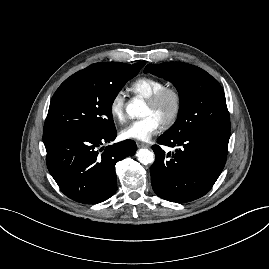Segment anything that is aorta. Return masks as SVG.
<instances>
[{
    "mask_svg": "<svg viewBox=\"0 0 269 269\" xmlns=\"http://www.w3.org/2000/svg\"><path fill=\"white\" fill-rule=\"evenodd\" d=\"M146 104L143 100L134 98L131 102L128 103L126 111L128 115L132 118L142 117ZM137 160L143 164L148 165L154 162L155 156L154 153L148 149H139L136 153Z\"/></svg>",
    "mask_w": 269,
    "mask_h": 269,
    "instance_id": "aorta-1",
    "label": "aorta"
}]
</instances>
